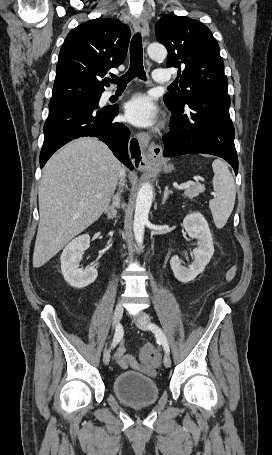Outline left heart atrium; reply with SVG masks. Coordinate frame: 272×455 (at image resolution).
Here are the masks:
<instances>
[{
    "label": "left heart atrium",
    "mask_w": 272,
    "mask_h": 455,
    "mask_svg": "<svg viewBox=\"0 0 272 455\" xmlns=\"http://www.w3.org/2000/svg\"><path fill=\"white\" fill-rule=\"evenodd\" d=\"M125 116L136 126L148 127L157 120L158 110L149 96L138 94L126 103Z\"/></svg>",
    "instance_id": "39dd6f15"
}]
</instances>
